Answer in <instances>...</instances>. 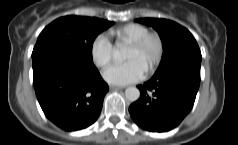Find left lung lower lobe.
Wrapping results in <instances>:
<instances>
[{
  "label": "left lung lower lobe",
  "instance_id": "0a47b994",
  "mask_svg": "<svg viewBox=\"0 0 238 145\" xmlns=\"http://www.w3.org/2000/svg\"><path fill=\"white\" fill-rule=\"evenodd\" d=\"M201 62H188L156 72L139 85L141 96L131 104L132 119L143 129L165 132L178 126L191 111L200 85Z\"/></svg>",
  "mask_w": 238,
  "mask_h": 145
}]
</instances>
